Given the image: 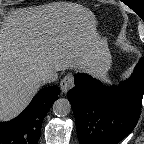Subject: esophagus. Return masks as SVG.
Here are the masks:
<instances>
[{
    "mask_svg": "<svg viewBox=\"0 0 144 144\" xmlns=\"http://www.w3.org/2000/svg\"><path fill=\"white\" fill-rule=\"evenodd\" d=\"M73 87H74V77L73 75L69 74L62 79L60 83V89L61 92L65 94Z\"/></svg>",
    "mask_w": 144,
    "mask_h": 144,
    "instance_id": "obj_1",
    "label": "esophagus"
}]
</instances>
